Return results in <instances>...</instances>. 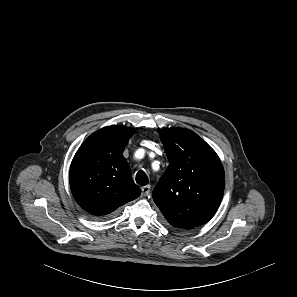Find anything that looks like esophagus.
<instances>
[{
    "instance_id": "obj_1",
    "label": "esophagus",
    "mask_w": 297,
    "mask_h": 297,
    "mask_svg": "<svg viewBox=\"0 0 297 297\" xmlns=\"http://www.w3.org/2000/svg\"><path fill=\"white\" fill-rule=\"evenodd\" d=\"M141 191H142V195L144 197H147L150 194V186H143L141 188Z\"/></svg>"
}]
</instances>
